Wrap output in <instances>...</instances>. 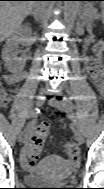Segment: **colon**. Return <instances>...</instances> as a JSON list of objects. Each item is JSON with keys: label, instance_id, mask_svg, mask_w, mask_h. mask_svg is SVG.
<instances>
[{"label": "colon", "instance_id": "1", "mask_svg": "<svg viewBox=\"0 0 104 189\" xmlns=\"http://www.w3.org/2000/svg\"><path fill=\"white\" fill-rule=\"evenodd\" d=\"M99 49V47H97ZM93 75L96 78H101L102 76V68L100 66H96L93 68ZM50 133V127L47 122H41L37 126L36 132L33 134L29 149L27 152V158L29 159V164L33 165L39 159L44 143ZM65 154L72 160L76 161L79 157V149L75 142L68 141L64 145Z\"/></svg>", "mask_w": 104, "mask_h": 189}]
</instances>
